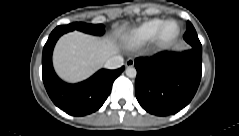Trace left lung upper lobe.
Here are the masks:
<instances>
[{
    "label": "left lung upper lobe",
    "mask_w": 239,
    "mask_h": 136,
    "mask_svg": "<svg viewBox=\"0 0 239 136\" xmlns=\"http://www.w3.org/2000/svg\"><path fill=\"white\" fill-rule=\"evenodd\" d=\"M183 38L190 45L191 48L202 50V45L197 36V33L193 25L189 21L187 22L186 32Z\"/></svg>",
    "instance_id": "1"
}]
</instances>
